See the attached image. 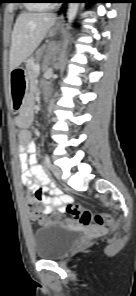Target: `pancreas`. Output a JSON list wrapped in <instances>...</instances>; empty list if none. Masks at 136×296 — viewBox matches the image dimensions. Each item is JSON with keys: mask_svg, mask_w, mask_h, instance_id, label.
Returning <instances> with one entry per match:
<instances>
[{"mask_svg": "<svg viewBox=\"0 0 136 296\" xmlns=\"http://www.w3.org/2000/svg\"><path fill=\"white\" fill-rule=\"evenodd\" d=\"M42 54V49H40L39 51H37L36 53V58H31L28 60L27 65H26V69H27V75L29 78L32 77H36L37 73L34 70L35 66L38 65L37 63H35V61L41 57Z\"/></svg>", "mask_w": 136, "mask_h": 296, "instance_id": "1", "label": "pancreas"}]
</instances>
